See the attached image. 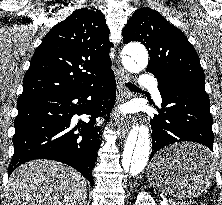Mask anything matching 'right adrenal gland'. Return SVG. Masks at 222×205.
<instances>
[{
	"mask_svg": "<svg viewBox=\"0 0 222 205\" xmlns=\"http://www.w3.org/2000/svg\"><path fill=\"white\" fill-rule=\"evenodd\" d=\"M84 205H86V200H84Z\"/></svg>",
	"mask_w": 222,
	"mask_h": 205,
	"instance_id": "2a0ac1e0",
	"label": "right adrenal gland"
}]
</instances>
